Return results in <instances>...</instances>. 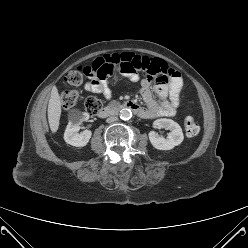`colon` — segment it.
Instances as JSON below:
<instances>
[{
    "mask_svg": "<svg viewBox=\"0 0 248 248\" xmlns=\"http://www.w3.org/2000/svg\"><path fill=\"white\" fill-rule=\"evenodd\" d=\"M116 61L110 56H103L96 59L91 65L82 66L79 69L71 70L66 73L65 81L69 85H79L84 76L94 75L98 78H104L116 68ZM79 99V93L76 90L65 91L61 96V103L64 110H71ZM102 107L101 101L96 97H89L85 101V108L89 114H96ZM186 134L196 136L200 131V126L196 118L188 114L184 119Z\"/></svg>",
    "mask_w": 248,
    "mask_h": 248,
    "instance_id": "obj_1",
    "label": "colon"
}]
</instances>
